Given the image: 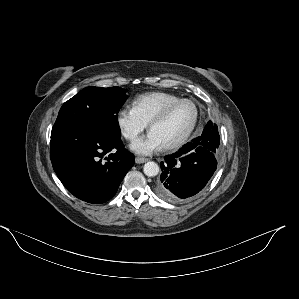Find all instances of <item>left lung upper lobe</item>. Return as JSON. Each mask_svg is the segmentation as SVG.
<instances>
[{
  "instance_id": "5c2ea615",
  "label": "left lung upper lobe",
  "mask_w": 299,
  "mask_h": 299,
  "mask_svg": "<svg viewBox=\"0 0 299 299\" xmlns=\"http://www.w3.org/2000/svg\"><path fill=\"white\" fill-rule=\"evenodd\" d=\"M203 133L208 136V140H212L210 143L214 146V152L217 154L220 143L217 125L209 121L205 126Z\"/></svg>"
}]
</instances>
